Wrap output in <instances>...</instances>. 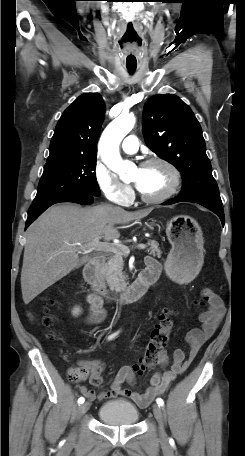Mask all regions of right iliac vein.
I'll return each instance as SVG.
<instances>
[{"label":"right iliac vein","mask_w":245,"mask_h":456,"mask_svg":"<svg viewBox=\"0 0 245 456\" xmlns=\"http://www.w3.org/2000/svg\"><path fill=\"white\" fill-rule=\"evenodd\" d=\"M90 408V403L89 402H85L83 404H81L78 408V417L82 416L83 414H85L88 409Z\"/></svg>","instance_id":"obj_1"}]
</instances>
